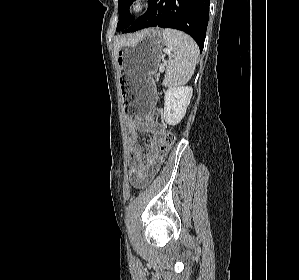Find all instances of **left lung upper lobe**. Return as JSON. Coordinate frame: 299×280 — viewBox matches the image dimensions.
Instances as JSON below:
<instances>
[{
  "label": "left lung upper lobe",
  "instance_id": "left-lung-upper-lobe-1",
  "mask_svg": "<svg viewBox=\"0 0 299 280\" xmlns=\"http://www.w3.org/2000/svg\"><path fill=\"white\" fill-rule=\"evenodd\" d=\"M134 0H119V22L117 23V31L127 29L131 23L133 22V18L129 15V7L133 3Z\"/></svg>",
  "mask_w": 299,
  "mask_h": 280
}]
</instances>
